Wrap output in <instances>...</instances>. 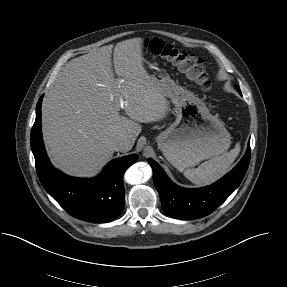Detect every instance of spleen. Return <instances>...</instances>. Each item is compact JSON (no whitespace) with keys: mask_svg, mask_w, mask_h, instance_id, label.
Returning <instances> with one entry per match:
<instances>
[{"mask_svg":"<svg viewBox=\"0 0 287 287\" xmlns=\"http://www.w3.org/2000/svg\"><path fill=\"white\" fill-rule=\"evenodd\" d=\"M240 152V143H236L235 148L229 152L214 157L197 168L187 169L184 176L198 186L209 185L220 179L229 169Z\"/></svg>","mask_w":287,"mask_h":287,"instance_id":"spleen-1","label":"spleen"}]
</instances>
